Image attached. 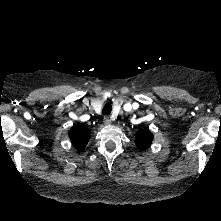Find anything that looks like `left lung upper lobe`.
I'll use <instances>...</instances> for the list:
<instances>
[{
    "mask_svg": "<svg viewBox=\"0 0 221 221\" xmlns=\"http://www.w3.org/2000/svg\"><path fill=\"white\" fill-rule=\"evenodd\" d=\"M135 137V144L139 149L142 150L149 147L153 140V135L148 129H141L137 131Z\"/></svg>",
    "mask_w": 221,
    "mask_h": 221,
    "instance_id": "obj_1",
    "label": "left lung upper lobe"
}]
</instances>
